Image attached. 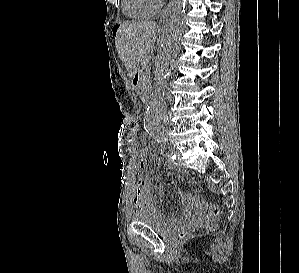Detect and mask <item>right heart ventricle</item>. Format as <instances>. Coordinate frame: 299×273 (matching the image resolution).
Instances as JSON below:
<instances>
[{"label": "right heart ventricle", "mask_w": 299, "mask_h": 273, "mask_svg": "<svg viewBox=\"0 0 299 273\" xmlns=\"http://www.w3.org/2000/svg\"><path fill=\"white\" fill-rule=\"evenodd\" d=\"M123 13L132 19H148L155 14L148 0H122Z\"/></svg>", "instance_id": "e07e8e85"}]
</instances>
